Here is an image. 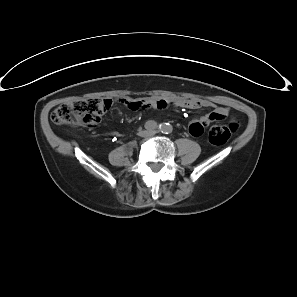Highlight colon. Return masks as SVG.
I'll list each match as a JSON object with an SVG mask.
<instances>
[{
	"label": "colon",
	"mask_w": 297,
	"mask_h": 297,
	"mask_svg": "<svg viewBox=\"0 0 297 297\" xmlns=\"http://www.w3.org/2000/svg\"><path fill=\"white\" fill-rule=\"evenodd\" d=\"M110 106L111 101L102 98L71 101L58 106L51 114V120L58 125L94 126L101 121ZM238 127L237 121H232L228 125L213 126L208 136L210 143L225 144Z\"/></svg>",
	"instance_id": "1"
}]
</instances>
